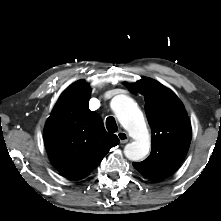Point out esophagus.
Masks as SVG:
<instances>
[{"label":"esophagus","mask_w":221,"mask_h":221,"mask_svg":"<svg viewBox=\"0 0 221 221\" xmlns=\"http://www.w3.org/2000/svg\"><path fill=\"white\" fill-rule=\"evenodd\" d=\"M117 137L119 138L120 143L124 144L128 142V134L124 131H119L117 133Z\"/></svg>","instance_id":"34e87169"}]
</instances>
